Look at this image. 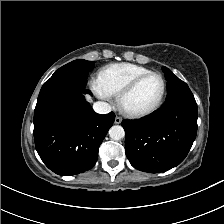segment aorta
I'll list each match as a JSON object with an SVG mask.
<instances>
[{"instance_id": "aorta-1", "label": "aorta", "mask_w": 224, "mask_h": 224, "mask_svg": "<svg viewBox=\"0 0 224 224\" xmlns=\"http://www.w3.org/2000/svg\"><path fill=\"white\" fill-rule=\"evenodd\" d=\"M109 136L113 140H121L125 136V131L122 126L114 125L109 130Z\"/></svg>"}]
</instances>
